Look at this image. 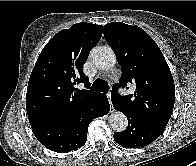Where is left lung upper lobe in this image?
<instances>
[{
  "label": "left lung upper lobe",
  "mask_w": 196,
  "mask_h": 166,
  "mask_svg": "<svg viewBox=\"0 0 196 166\" xmlns=\"http://www.w3.org/2000/svg\"><path fill=\"white\" fill-rule=\"evenodd\" d=\"M122 74L112 87L113 106L145 122L166 128L175 102V85L166 60L154 40L140 27L122 22L104 26ZM136 85L134 94L121 96L118 87Z\"/></svg>",
  "instance_id": "obj_1"
}]
</instances>
